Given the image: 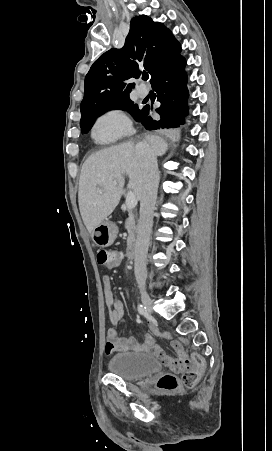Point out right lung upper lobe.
<instances>
[{
	"instance_id": "obj_1",
	"label": "right lung upper lobe",
	"mask_w": 272,
	"mask_h": 451,
	"mask_svg": "<svg viewBox=\"0 0 272 451\" xmlns=\"http://www.w3.org/2000/svg\"><path fill=\"white\" fill-rule=\"evenodd\" d=\"M181 46L162 23L153 22L145 15L131 20L130 31L124 47L110 49L91 66L85 77L84 99L81 113L116 100L129 98L140 69L151 74L153 82L157 73L180 54Z\"/></svg>"
}]
</instances>
